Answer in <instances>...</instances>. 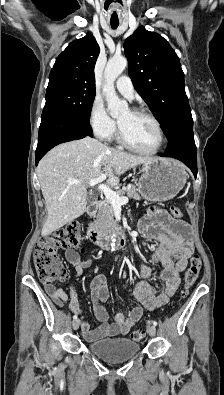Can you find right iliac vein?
Here are the masks:
<instances>
[{
  "label": "right iliac vein",
  "mask_w": 224,
  "mask_h": 395,
  "mask_svg": "<svg viewBox=\"0 0 224 395\" xmlns=\"http://www.w3.org/2000/svg\"><path fill=\"white\" fill-rule=\"evenodd\" d=\"M79 326H80V320L79 319L74 320L72 323L73 329L77 330L79 328Z\"/></svg>",
  "instance_id": "1"
}]
</instances>
